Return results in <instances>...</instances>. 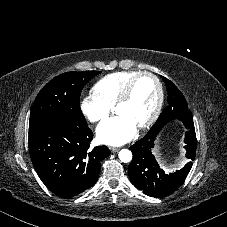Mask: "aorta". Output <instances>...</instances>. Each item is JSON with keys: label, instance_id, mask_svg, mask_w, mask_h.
<instances>
[{"label": "aorta", "instance_id": "aorta-1", "mask_svg": "<svg viewBox=\"0 0 227 227\" xmlns=\"http://www.w3.org/2000/svg\"><path fill=\"white\" fill-rule=\"evenodd\" d=\"M118 156H119V159L121 160V162H124V163H128L132 160V153L128 149L120 150Z\"/></svg>", "mask_w": 227, "mask_h": 227}]
</instances>
